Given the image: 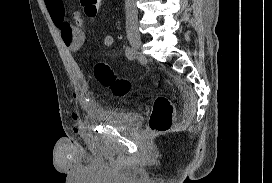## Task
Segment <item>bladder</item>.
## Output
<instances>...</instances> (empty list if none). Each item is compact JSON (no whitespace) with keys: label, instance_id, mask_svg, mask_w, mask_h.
<instances>
[{"label":"bladder","instance_id":"bladder-1","mask_svg":"<svg viewBox=\"0 0 272 183\" xmlns=\"http://www.w3.org/2000/svg\"><path fill=\"white\" fill-rule=\"evenodd\" d=\"M104 121L118 128L131 129L138 122V114L132 111L105 112Z\"/></svg>","mask_w":272,"mask_h":183}]
</instances>
